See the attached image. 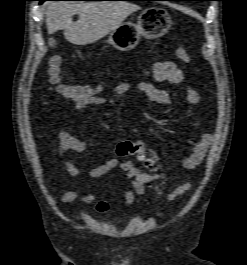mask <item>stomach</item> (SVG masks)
<instances>
[{"label": "stomach", "instance_id": "obj_1", "mask_svg": "<svg viewBox=\"0 0 247 265\" xmlns=\"http://www.w3.org/2000/svg\"><path fill=\"white\" fill-rule=\"evenodd\" d=\"M172 20L168 12L160 7H148L138 16L137 24L122 23L112 31L107 42L119 51H131L141 37L156 39L168 32Z\"/></svg>", "mask_w": 247, "mask_h": 265}]
</instances>
